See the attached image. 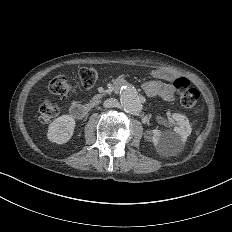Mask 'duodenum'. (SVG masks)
Returning a JSON list of instances; mask_svg holds the SVG:
<instances>
[{
  "label": "duodenum",
  "instance_id": "obj_1",
  "mask_svg": "<svg viewBox=\"0 0 232 232\" xmlns=\"http://www.w3.org/2000/svg\"><path fill=\"white\" fill-rule=\"evenodd\" d=\"M114 85H115L116 88H118V87L124 85V81L123 80H117ZM88 112H89V107L87 105L73 104L69 108L70 115L73 118L78 119V120L83 119L84 117H86Z\"/></svg>",
  "mask_w": 232,
  "mask_h": 232
}]
</instances>
